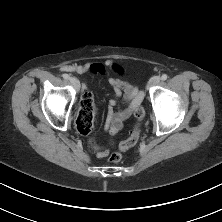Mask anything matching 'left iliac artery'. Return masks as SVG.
<instances>
[{
  "label": "left iliac artery",
  "mask_w": 222,
  "mask_h": 222,
  "mask_svg": "<svg viewBox=\"0 0 222 222\" xmlns=\"http://www.w3.org/2000/svg\"><path fill=\"white\" fill-rule=\"evenodd\" d=\"M168 76L166 74H163L162 77H161V80L165 81L167 80Z\"/></svg>",
  "instance_id": "obj_1"
}]
</instances>
